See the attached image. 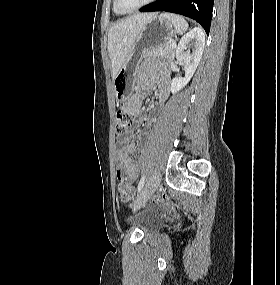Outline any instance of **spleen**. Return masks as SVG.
<instances>
[{
  "label": "spleen",
  "instance_id": "spleen-1",
  "mask_svg": "<svg viewBox=\"0 0 280 285\" xmlns=\"http://www.w3.org/2000/svg\"><path fill=\"white\" fill-rule=\"evenodd\" d=\"M163 16L173 23L178 34H183L188 29V23L183 17L170 13H165Z\"/></svg>",
  "mask_w": 280,
  "mask_h": 285
}]
</instances>
